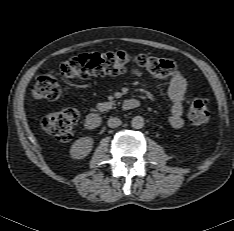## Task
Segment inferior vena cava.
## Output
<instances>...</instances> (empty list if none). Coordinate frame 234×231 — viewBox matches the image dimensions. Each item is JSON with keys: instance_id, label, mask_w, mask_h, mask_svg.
<instances>
[{"instance_id": "inferior-vena-cava-1", "label": "inferior vena cava", "mask_w": 234, "mask_h": 231, "mask_svg": "<svg viewBox=\"0 0 234 231\" xmlns=\"http://www.w3.org/2000/svg\"><path fill=\"white\" fill-rule=\"evenodd\" d=\"M121 125V120L117 117H110L108 120V126L110 128H115Z\"/></svg>"}]
</instances>
